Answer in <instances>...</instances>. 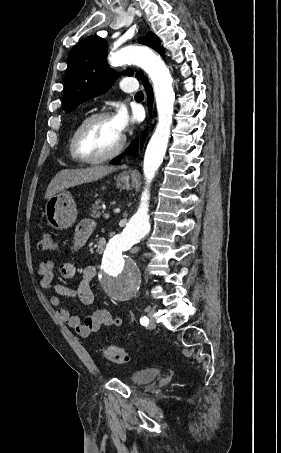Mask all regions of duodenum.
Listing matches in <instances>:
<instances>
[{
    "mask_svg": "<svg viewBox=\"0 0 281 453\" xmlns=\"http://www.w3.org/2000/svg\"><path fill=\"white\" fill-rule=\"evenodd\" d=\"M106 248V241L104 239H99L97 242L96 250L99 254H102Z\"/></svg>",
    "mask_w": 281,
    "mask_h": 453,
    "instance_id": "obj_1",
    "label": "duodenum"
}]
</instances>
